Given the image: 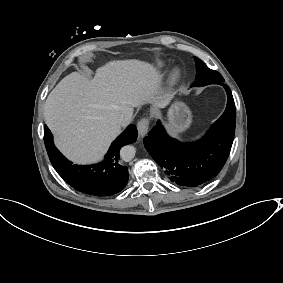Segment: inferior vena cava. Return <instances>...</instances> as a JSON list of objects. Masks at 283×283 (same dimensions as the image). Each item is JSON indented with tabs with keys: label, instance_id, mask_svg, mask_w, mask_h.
<instances>
[{
	"label": "inferior vena cava",
	"instance_id": "inferior-vena-cava-1",
	"mask_svg": "<svg viewBox=\"0 0 283 283\" xmlns=\"http://www.w3.org/2000/svg\"><path fill=\"white\" fill-rule=\"evenodd\" d=\"M128 122H129V120H128L125 116H121V117L119 118V123H120L121 125H126Z\"/></svg>",
	"mask_w": 283,
	"mask_h": 283
}]
</instances>
